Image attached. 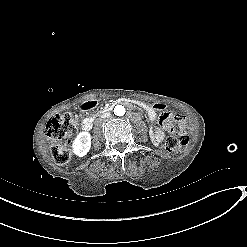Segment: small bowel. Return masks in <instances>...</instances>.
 <instances>
[{"instance_id": "c3829d8e", "label": "small bowel", "mask_w": 247, "mask_h": 247, "mask_svg": "<svg viewBox=\"0 0 247 247\" xmlns=\"http://www.w3.org/2000/svg\"><path fill=\"white\" fill-rule=\"evenodd\" d=\"M143 109L148 117V119L151 121V122H154L156 121L157 119V115H158V112L160 111H157L155 110L151 104H147V105H144L143 106ZM175 121L180 125V127H183L184 126V121L182 118L176 116L175 118ZM164 140V131H163V128L162 127H154L152 130H151V141L154 145H160Z\"/></svg>"}]
</instances>
